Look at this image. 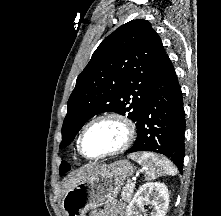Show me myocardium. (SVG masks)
I'll return each mask as SVG.
<instances>
[{
	"label": "myocardium",
	"instance_id": "obj_1",
	"mask_svg": "<svg viewBox=\"0 0 221 216\" xmlns=\"http://www.w3.org/2000/svg\"><path fill=\"white\" fill-rule=\"evenodd\" d=\"M101 121H114L115 123L119 124L123 130L124 137L122 142L113 150L104 152L99 155H86L83 151V138L85 133L88 131L90 127H92L94 124L101 122ZM136 137V126L134 122L128 118L127 116L118 113V112H108L102 115H99L93 119H91L82 129V131L79 134L78 141H77V149L79 153L87 158V159H101L109 156H113L116 154H119L123 151H125L134 141Z\"/></svg>",
	"mask_w": 221,
	"mask_h": 216
}]
</instances>
